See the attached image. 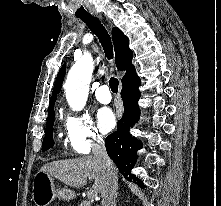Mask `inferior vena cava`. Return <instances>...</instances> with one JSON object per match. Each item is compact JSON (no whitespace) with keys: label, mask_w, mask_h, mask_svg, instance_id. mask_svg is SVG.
I'll return each instance as SVG.
<instances>
[{"label":"inferior vena cava","mask_w":221,"mask_h":206,"mask_svg":"<svg viewBox=\"0 0 221 206\" xmlns=\"http://www.w3.org/2000/svg\"><path fill=\"white\" fill-rule=\"evenodd\" d=\"M92 151L107 173V182L105 190L102 193V206H111L118 186L114 165L107 155L104 140L101 138H95L94 142L92 143Z\"/></svg>","instance_id":"1"}]
</instances>
